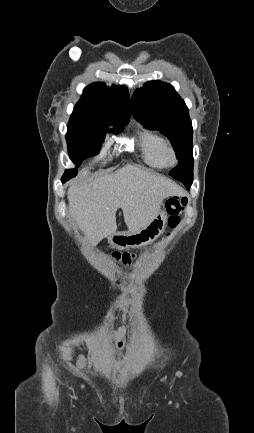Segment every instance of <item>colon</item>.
<instances>
[{
    "label": "colon",
    "mask_w": 254,
    "mask_h": 433,
    "mask_svg": "<svg viewBox=\"0 0 254 433\" xmlns=\"http://www.w3.org/2000/svg\"><path fill=\"white\" fill-rule=\"evenodd\" d=\"M187 204V199L180 196H172L167 200L166 207L169 214L168 224L170 228H175L181 220V214L184 207ZM113 258L124 265H130L134 259L135 255L125 252V253H114Z\"/></svg>",
    "instance_id": "5ec220e1"
}]
</instances>
